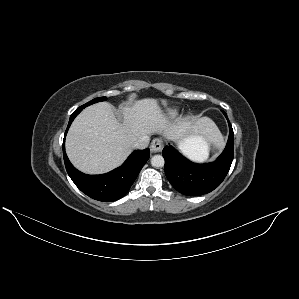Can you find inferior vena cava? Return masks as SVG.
<instances>
[{
	"mask_svg": "<svg viewBox=\"0 0 299 299\" xmlns=\"http://www.w3.org/2000/svg\"><path fill=\"white\" fill-rule=\"evenodd\" d=\"M150 138L148 136H145L139 140H137L134 144L133 147L136 149H145L148 144H149Z\"/></svg>",
	"mask_w": 299,
	"mask_h": 299,
	"instance_id": "1",
	"label": "inferior vena cava"
}]
</instances>
